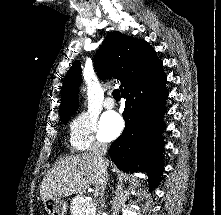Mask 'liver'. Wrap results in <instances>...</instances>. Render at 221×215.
<instances>
[{"label":"liver","mask_w":221,"mask_h":215,"mask_svg":"<svg viewBox=\"0 0 221 215\" xmlns=\"http://www.w3.org/2000/svg\"><path fill=\"white\" fill-rule=\"evenodd\" d=\"M109 162L106 164V169ZM98 161L90 153L69 155L60 158L44 176L40 197L62 198L85 191L95 184L98 174Z\"/></svg>","instance_id":"6515ba94"}]
</instances>
